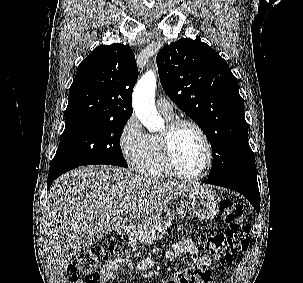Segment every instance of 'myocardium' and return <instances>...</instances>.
Returning a JSON list of instances; mask_svg holds the SVG:
<instances>
[{"mask_svg":"<svg viewBox=\"0 0 303 283\" xmlns=\"http://www.w3.org/2000/svg\"><path fill=\"white\" fill-rule=\"evenodd\" d=\"M183 127H191L194 129L201 137L206 148V164L203 171L197 175H187L183 173L179 169L175 159L174 140ZM159 140L165 165L174 176L183 180L196 181L204 178L211 170L214 160L213 147L205 131L196 122L187 119L173 120L167 124L164 132L159 136Z\"/></svg>","mask_w":303,"mask_h":283,"instance_id":"myocardium-1","label":"myocardium"}]
</instances>
